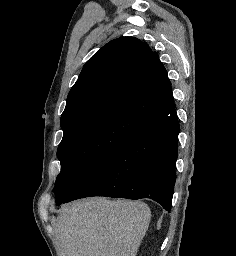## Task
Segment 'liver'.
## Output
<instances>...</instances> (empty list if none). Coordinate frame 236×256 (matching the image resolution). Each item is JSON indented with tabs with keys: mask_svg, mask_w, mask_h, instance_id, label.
I'll return each mask as SVG.
<instances>
[{
	"mask_svg": "<svg viewBox=\"0 0 236 256\" xmlns=\"http://www.w3.org/2000/svg\"><path fill=\"white\" fill-rule=\"evenodd\" d=\"M150 220L144 202L85 198L65 204L56 220L58 256H137Z\"/></svg>",
	"mask_w": 236,
	"mask_h": 256,
	"instance_id": "obj_1",
	"label": "liver"
}]
</instances>
